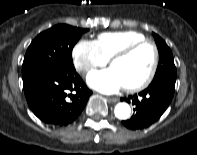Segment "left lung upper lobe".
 Here are the masks:
<instances>
[{"label":"left lung upper lobe","instance_id":"left-lung-upper-lobe-1","mask_svg":"<svg viewBox=\"0 0 197 155\" xmlns=\"http://www.w3.org/2000/svg\"><path fill=\"white\" fill-rule=\"evenodd\" d=\"M153 36L155 38V42L159 51V64L152 83L167 82L175 84L176 67L174 64L172 52L161 37H159L155 33H153Z\"/></svg>","mask_w":197,"mask_h":155}]
</instances>
